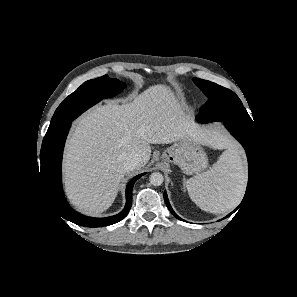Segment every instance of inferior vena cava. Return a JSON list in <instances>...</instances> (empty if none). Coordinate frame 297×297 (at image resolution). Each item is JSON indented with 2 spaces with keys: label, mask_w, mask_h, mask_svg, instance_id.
I'll return each instance as SVG.
<instances>
[{
  "label": "inferior vena cava",
  "mask_w": 297,
  "mask_h": 297,
  "mask_svg": "<svg viewBox=\"0 0 297 297\" xmlns=\"http://www.w3.org/2000/svg\"><path fill=\"white\" fill-rule=\"evenodd\" d=\"M142 162L141 157L137 153L130 154L124 161V169L129 172L134 170Z\"/></svg>",
  "instance_id": "inferior-vena-cava-1"
}]
</instances>
